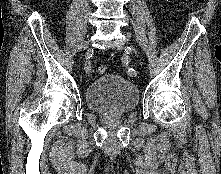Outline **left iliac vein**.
I'll return each instance as SVG.
<instances>
[{
	"mask_svg": "<svg viewBox=\"0 0 221 174\" xmlns=\"http://www.w3.org/2000/svg\"><path fill=\"white\" fill-rule=\"evenodd\" d=\"M129 48L131 49V51H132L133 53H136V50H135V48H134L132 45H130Z\"/></svg>",
	"mask_w": 221,
	"mask_h": 174,
	"instance_id": "left-iliac-vein-1",
	"label": "left iliac vein"
}]
</instances>
